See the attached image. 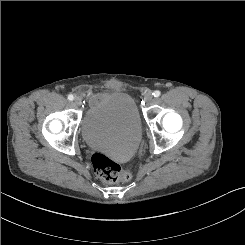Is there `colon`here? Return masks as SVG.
Masks as SVG:
<instances>
[{
  "instance_id": "5ec220e1",
  "label": "colon",
  "mask_w": 245,
  "mask_h": 245,
  "mask_svg": "<svg viewBox=\"0 0 245 245\" xmlns=\"http://www.w3.org/2000/svg\"><path fill=\"white\" fill-rule=\"evenodd\" d=\"M92 165L96 175L106 183L125 182L131 179V173L101 153L92 156Z\"/></svg>"
}]
</instances>
